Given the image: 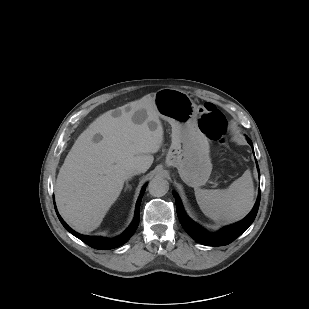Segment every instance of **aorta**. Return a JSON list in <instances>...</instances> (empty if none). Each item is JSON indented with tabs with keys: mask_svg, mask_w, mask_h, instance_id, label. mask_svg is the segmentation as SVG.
<instances>
[{
	"mask_svg": "<svg viewBox=\"0 0 309 309\" xmlns=\"http://www.w3.org/2000/svg\"><path fill=\"white\" fill-rule=\"evenodd\" d=\"M149 193L155 197L164 196L169 190V183L166 179L156 176L148 185Z\"/></svg>",
	"mask_w": 309,
	"mask_h": 309,
	"instance_id": "obj_1",
	"label": "aorta"
}]
</instances>
